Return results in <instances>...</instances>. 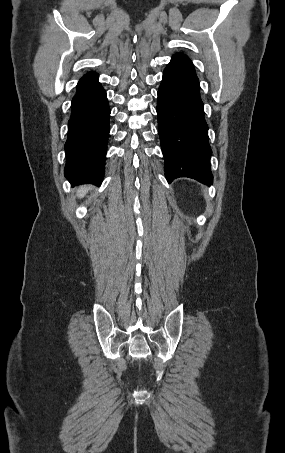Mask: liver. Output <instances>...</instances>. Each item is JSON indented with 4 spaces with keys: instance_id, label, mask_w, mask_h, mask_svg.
Here are the masks:
<instances>
[{
    "instance_id": "1",
    "label": "liver",
    "mask_w": 285,
    "mask_h": 453,
    "mask_svg": "<svg viewBox=\"0 0 285 453\" xmlns=\"http://www.w3.org/2000/svg\"><path fill=\"white\" fill-rule=\"evenodd\" d=\"M88 191V188L87 187H81L80 189H78L77 191V195L78 197H83L86 192Z\"/></svg>"
}]
</instances>
